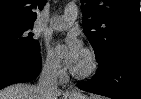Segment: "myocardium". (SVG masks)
<instances>
[{"label":"myocardium","instance_id":"f54148a6","mask_svg":"<svg viewBox=\"0 0 141 99\" xmlns=\"http://www.w3.org/2000/svg\"><path fill=\"white\" fill-rule=\"evenodd\" d=\"M84 56L86 58L87 65L83 69L72 68V74L78 79H87L92 77L98 70L99 62L95 52L91 49H86Z\"/></svg>","mask_w":141,"mask_h":99}]
</instances>
